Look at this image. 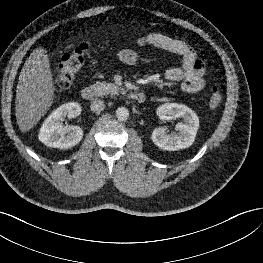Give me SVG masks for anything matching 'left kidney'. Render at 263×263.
<instances>
[{"instance_id":"5707ae66","label":"left kidney","mask_w":263,"mask_h":263,"mask_svg":"<svg viewBox=\"0 0 263 263\" xmlns=\"http://www.w3.org/2000/svg\"><path fill=\"white\" fill-rule=\"evenodd\" d=\"M162 117L182 118L183 122L176 124L177 134L166 133L165 128H156L152 133V141L163 150L176 151L190 147L199 128V119L189 107L178 103H166L157 109Z\"/></svg>"}]
</instances>
